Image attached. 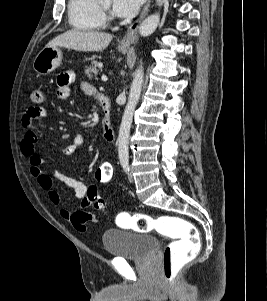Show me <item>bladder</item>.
Wrapping results in <instances>:
<instances>
[{
  "mask_svg": "<svg viewBox=\"0 0 267 301\" xmlns=\"http://www.w3.org/2000/svg\"><path fill=\"white\" fill-rule=\"evenodd\" d=\"M102 243L109 255L126 259H144L159 247L158 238L153 235L122 229L105 230Z\"/></svg>",
  "mask_w": 267,
  "mask_h": 301,
  "instance_id": "1",
  "label": "bladder"
}]
</instances>
